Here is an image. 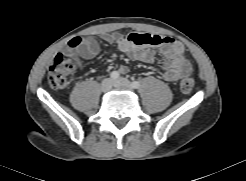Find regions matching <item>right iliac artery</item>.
I'll use <instances>...</instances> for the list:
<instances>
[{
	"label": "right iliac artery",
	"mask_w": 246,
	"mask_h": 181,
	"mask_svg": "<svg viewBox=\"0 0 246 181\" xmlns=\"http://www.w3.org/2000/svg\"><path fill=\"white\" fill-rule=\"evenodd\" d=\"M110 78L115 80L119 78V73L117 71H113L110 73Z\"/></svg>",
	"instance_id": "right-iliac-artery-1"
}]
</instances>
